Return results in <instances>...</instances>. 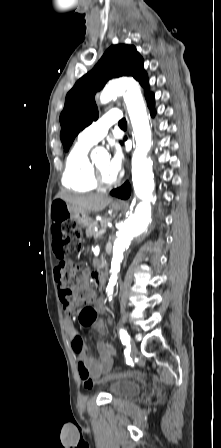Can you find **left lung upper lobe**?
Masks as SVG:
<instances>
[{
    "instance_id": "left-lung-upper-lobe-1",
    "label": "left lung upper lobe",
    "mask_w": 221,
    "mask_h": 448,
    "mask_svg": "<svg viewBox=\"0 0 221 448\" xmlns=\"http://www.w3.org/2000/svg\"><path fill=\"white\" fill-rule=\"evenodd\" d=\"M132 76L148 91L143 59L131 45H113L106 50L95 67L81 77L68 92L60 115L61 141L69 150L76 135L98 118L94 96L113 77Z\"/></svg>"
}]
</instances>
